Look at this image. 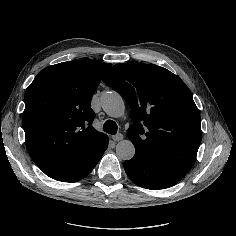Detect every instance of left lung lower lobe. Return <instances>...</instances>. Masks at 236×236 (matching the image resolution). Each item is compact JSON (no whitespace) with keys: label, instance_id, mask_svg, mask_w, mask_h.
Instances as JSON below:
<instances>
[{"label":"left lung lower lobe","instance_id":"obj_1","mask_svg":"<svg viewBox=\"0 0 236 236\" xmlns=\"http://www.w3.org/2000/svg\"><path fill=\"white\" fill-rule=\"evenodd\" d=\"M124 169L135 184L147 189H165L175 185L184 177L139 151L135 152L131 160L124 162Z\"/></svg>","mask_w":236,"mask_h":236}]
</instances>
